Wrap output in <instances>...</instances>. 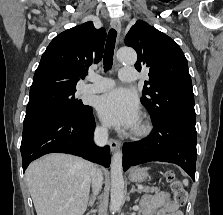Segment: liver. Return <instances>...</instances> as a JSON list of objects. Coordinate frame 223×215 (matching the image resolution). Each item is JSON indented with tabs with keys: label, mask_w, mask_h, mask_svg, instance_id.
I'll use <instances>...</instances> for the list:
<instances>
[{
	"label": "liver",
	"mask_w": 223,
	"mask_h": 215,
	"mask_svg": "<svg viewBox=\"0 0 223 215\" xmlns=\"http://www.w3.org/2000/svg\"><path fill=\"white\" fill-rule=\"evenodd\" d=\"M91 173L90 161L66 153H49L30 163L25 179L37 215H83Z\"/></svg>",
	"instance_id": "obj_1"
}]
</instances>
